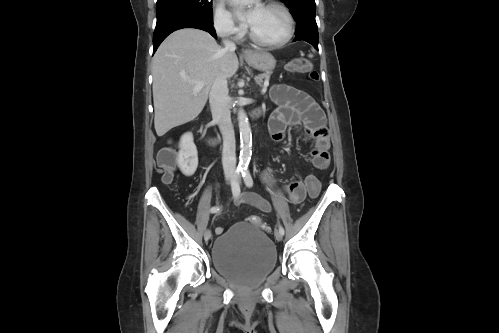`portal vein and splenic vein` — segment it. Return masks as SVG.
<instances>
[{"label":"portal vein and splenic vein","mask_w":499,"mask_h":333,"mask_svg":"<svg viewBox=\"0 0 499 333\" xmlns=\"http://www.w3.org/2000/svg\"><path fill=\"white\" fill-rule=\"evenodd\" d=\"M191 83H194L195 84V87H194V92L197 93L199 92L205 85V83L203 81H189ZM268 81H265V84H264V87L262 89V92L265 93L267 91V86H268Z\"/></svg>","instance_id":"18ae733b"}]
</instances>
